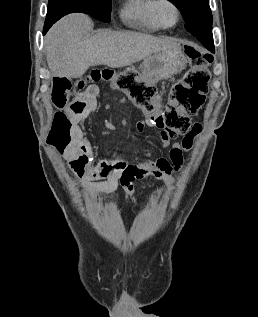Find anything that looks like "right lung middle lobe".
<instances>
[{
	"instance_id": "obj_1",
	"label": "right lung middle lobe",
	"mask_w": 258,
	"mask_h": 317,
	"mask_svg": "<svg viewBox=\"0 0 258 317\" xmlns=\"http://www.w3.org/2000/svg\"><path fill=\"white\" fill-rule=\"evenodd\" d=\"M84 1L89 2L90 6L94 9L95 11L94 18L103 22H107V23L110 22L111 0H84Z\"/></svg>"
}]
</instances>
